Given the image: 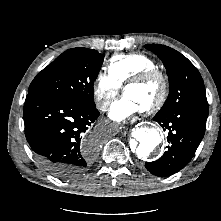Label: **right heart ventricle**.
I'll list each match as a JSON object with an SVG mask.
<instances>
[{"instance_id":"right-heart-ventricle-1","label":"right heart ventricle","mask_w":221,"mask_h":221,"mask_svg":"<svg viewBox=\"0 0 221 221\" xmlns=\"http://www.w3.org/2000/svg\"><path fill=\"white\" fill-rule=\"evenodd\" d=\"M107 69L108 74L123 86L131 77L144 70L157 69V65L143 53H128L112 57Z\"/></svg>"}]
</instances>
